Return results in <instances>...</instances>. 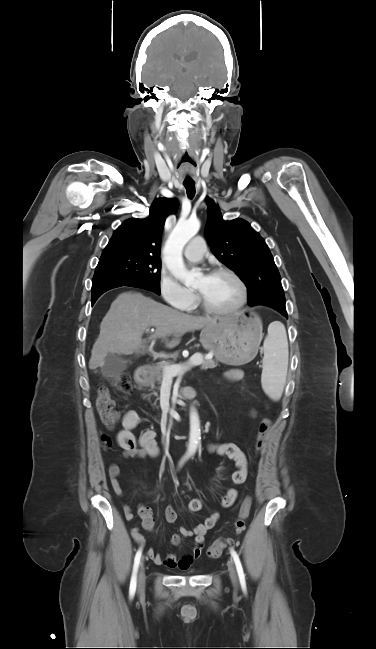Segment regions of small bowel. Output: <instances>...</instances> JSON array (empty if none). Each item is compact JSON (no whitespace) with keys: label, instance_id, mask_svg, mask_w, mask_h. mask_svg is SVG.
Masks as SVG:
<instances>
[{"label":"small bowel","instance_id":"obj_1","mask_svg":"<svg viewBox=\"0 0 376 649\" xmlns=\"http://www.w3.org/2000/svg\"><path fill=\"white\" fill-rule=\"evenodd\" d=\"M226 376L231 380H238L242 377V374L239 370L234 369L228 371L226 373ZM191 393L192 395L194 394L193 390H191ZM139 424L140 416L135 410H129L124 414L122 419V429L117 433L116 436V442L118 446L123 450L124 457L127 458L157 457L159 454V447L155 439L156 433L152 430H146L137 438L134 434V430L138 427ZM208 450L211 453H215L220 456H227L228 458L235 461L237 469L233 472L231 477L234 486H238L246 480L247 461L245 455L236 445L230 443L210 444L208 445ZM119 475V465H110L108 469V476L110 479L111 487L117 496H122L123 488L119 479ZM236 497V489H230L224 496L222 505L224 507L230 506L231 504H233ZM187 508L191 512H197L201 510L202 503L198 499H193L189 502ZM122 509L124 517L127 521L134 519V512L128 504H123ZM137 513L142 520V527L148 531H152L154 529V518L151 509L144 505H139L137 508ZM164 515L168 523H174L178 518L177 509L172 505L166 507ZM218 520L219 514L217 512H213L206 517L203 523L198 524L194 529H188L182 526L179 528V535H173V537L171 538V543L175 546L180 544L181 536L193 537L194 548L190 553L184 554L182 556H178L177 554L173 553L163 558L153 548H150L147 550L148 557L156 565L164 566L167 568L177 567L181 570L188 569L194 563V561H196L201 556L205 541V534L216 525ZM131 535L139 545L144 546L145 540L143 535L140 533L139 528H133L131 530Z\"/></svg>","mask_w":376,"mask_h":649}]
</instances>
